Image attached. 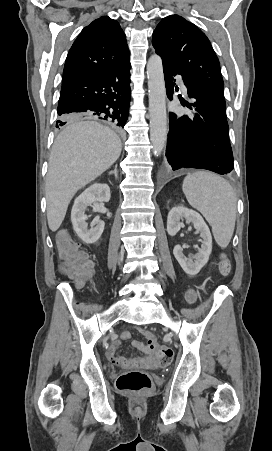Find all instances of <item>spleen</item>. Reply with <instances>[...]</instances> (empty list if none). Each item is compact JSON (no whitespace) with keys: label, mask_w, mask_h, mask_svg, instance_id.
<instances>
[{"label":"spleen","mask_w":272,"mask_h":451,"mask_svg":"<svg viewBox=\"0 0 272 451\" xmlns=\"http://www.w3.org/2000/svg\"><path fill=\"white\" fill-rule=\"evenodd\" d=\"M182 190L212 227L218 245L227 247L236 222V196L229 182L211 172H194L184 178Z\"/></svg>","instance_id":"obj_1"}]
</instances>
